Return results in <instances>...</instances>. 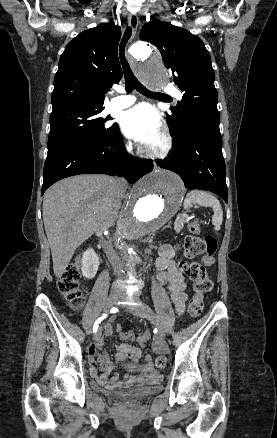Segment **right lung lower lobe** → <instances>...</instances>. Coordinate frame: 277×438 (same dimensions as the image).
Returning a JSON list of instances; mask_svg holds the SVG:
<instances>
[{
  "label": "right lung lower lobe",
  "mask_w": 277,
  "mask_h": 438,
  "mask_svg": "<svg viewBox=\"0 0 277 438\" xmlns=\"http://www.w3.org/2000/svg\"><path fill=\"white\" fill-rule=\"evenodd\" d=\"M152 162L126 154L119 129L100 142L76 144L47 154L42 194L56 181L78 174H124L129 183L152 170Z\"/></svg>",
  "instance_id": "1"
}]
</instances>
